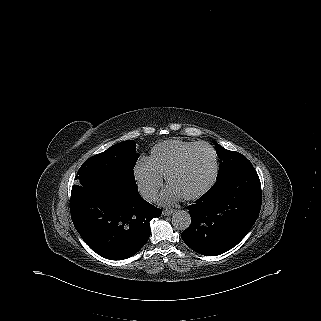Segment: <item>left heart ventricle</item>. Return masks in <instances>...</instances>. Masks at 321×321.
Returning <instances> with one entry per match:
<instances>
[{
  "label": "left heart ventricle",
  "mask_w": 321,
  "mask_h": 321,
  "mask_svg": "<svg viewBox=\"0 0 321 321\" xmlns=\"http://www.w3.org/2000/svg\"><path fill=\"white\" fill-rule=\"evenodd\" d=\"M213 169L212 152L207 148H198L186 166L173 176L170 186L182 196L193 194L209 182Z\"/></svg>",
  "instance_id": "obj_1"
}]
</instances>
